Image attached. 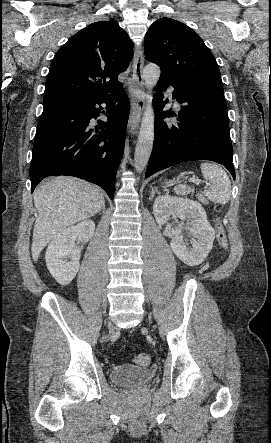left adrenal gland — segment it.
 Returning a JSON list of instances; mask_svg holds the SVG:
<instances>
[{
	"instance_id": "a2214340",
	"label": "left adrenal gland",
	"mask_w": 271,
	"mask_h": 443,
	"mask_svg": "<svg viewBox=\"0 0 271 443\" xmlns=\"http://www.w3.org/2000/svg\"><path fill=\"white\" fill-rule=\"evenodd\" d=\"M155 192H157V194H159L157 188H151L149 200H153Z\"/></svg>"
}]
</instances>
